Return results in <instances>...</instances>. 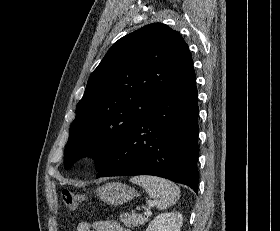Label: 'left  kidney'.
I'll list each match as a JSON object with an SVG mask.
<instances>
[{"mask_svg":"<svg viewBox=\"0 0 280 231\" xmlns=\"http://www.w3.org/2000/svg\"><path fill=\"white\" fill-rule=\"evenodd\" d=\"M182 221V213H179V211L160 213L152 219L146 231H180Z\"/></svg>","mask_w":280,"mask_h":231,"instance_id":"5707ae66","label":"left kidney"}]
</instances>
